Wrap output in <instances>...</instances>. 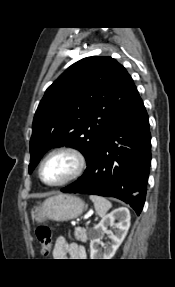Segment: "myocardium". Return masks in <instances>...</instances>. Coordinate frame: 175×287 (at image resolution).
<instances>
[{
    "label": "myocardium",
    "instance_id": "f54148a6",
    "mask_svg": "<svg viewBox=\"0 0 175 287\" xmlns=\"http://www.w3.org/2000/svg\"><path fill=\"white\" fill-rule=\"evenodd\" d=\"M61 153H65V154H69L70 156H72L75 160V169L74 171L68 176L66 177L64 180L57 182V183H48L43 179V174H42V170H43V166L44 164L47 162V160L49 158H51L52 156L56 155V154H61ZM87 168V158L85 156V154L75 148V147H71V146H62V147H58L55 148L53 150H51L41 161L40 165H39V169H38V175L40 180L49 187H61L64 186L70 182H73L75 180H77L79 177L82 176V174L85 172Z\"/></svg>",
    "mask_w": 175,
    "mask_h": 287
}]
</instances>
